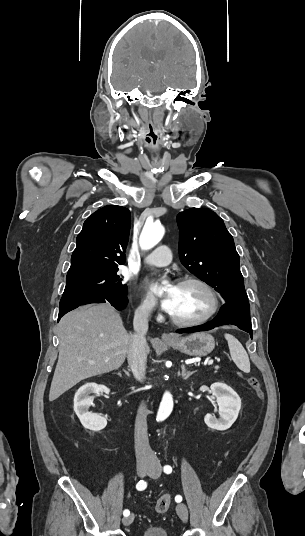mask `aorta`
Returning <instances> with one entry per match:
<instances>
[{
  "mask_svg": "<svg viewBox=\"0 0 305 536\" xmlns=\"http://www.w3.org/2000/svg\"><path fill=\"white\" fill-rule=\"evenodd\" d=\"M165 229L160 224H147L144 226L140 238L139 245L142 250L153 248L164 236ZM162 290L160 289V294ZM173 397L170 392L166 391L163 395L160 407L157 413V421L165 420L172 412Z\"/></svg>",
  "mask_w": 305,
  "mask_h": 536,
  "instance_id": "762f6f07",
  "label": "aorta"
}]
</instances>
